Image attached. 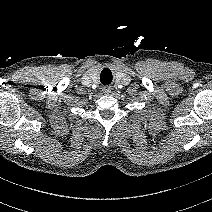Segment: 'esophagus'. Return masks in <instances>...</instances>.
I'll use <instances>...</instances> for the list:
<instances>
[{"label": "esophagus", "instance_id": "1", "mask_svg": "<svg viewBox=\"0 0 212 212\" xmlns=\"http://www.w3.org/2000/svg\"><path fill=\"white\" fill-rule=\"evenodd\" d=\"M112 88L110 86L103 87L102 91L105 94H109L111 92Z\"/></svg>", "mask_w": 212, "mask_h": 212}]
</instances>
